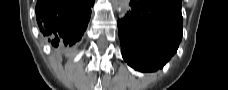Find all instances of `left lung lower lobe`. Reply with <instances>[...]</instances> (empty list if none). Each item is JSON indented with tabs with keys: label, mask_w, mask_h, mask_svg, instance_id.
<instances>
[{
	"label": "left lung lower lobe",
	"mask_w": 228,
	"mask_h": 90,
	"mask_svg": "<svg viewBox=\"0 0 228 90\" xmlns=\"http://www.w3.org/2000/svg\"><path fill=\"white\" fill-rule=\"evenodd\" d=\"M132 11L118 21L122 55L132 68H162L182 38L180 0H131Z\"/></svg>",
	"instance_id": "obj_1"
}]
</instances>
